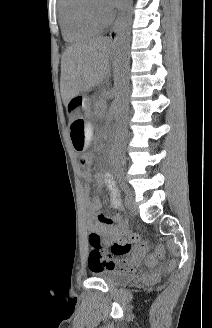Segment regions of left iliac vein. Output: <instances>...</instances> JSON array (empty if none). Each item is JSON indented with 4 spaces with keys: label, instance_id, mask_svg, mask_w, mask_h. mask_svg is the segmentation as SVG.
<instances>
[{
    "label": "left iliac vein",
    "instance_id": "obj_1",
    "mask_svg": "<svg viewBox=\"0 0 212 328\" xmlns=\"http://www.w3.org/2000/svg\"><path fill=\"white\" fill-rule=\"evenodd\" d=\"M125 200H126V206H127L128 210L132 214H137L138 213V208H137V205L134 201L133 193L129 189L127 190Z\"/></svg>",
    "mask_w": 212,
    "mask_h": 328
}]
</instances>
